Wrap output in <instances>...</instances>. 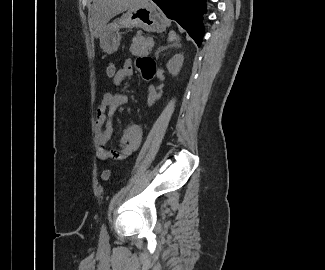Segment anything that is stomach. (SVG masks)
<instances>
[{
	"mask_svg": "<svg viewBox=\"0 0 325 270\" xmlns=\"http://www.w3.org/2000/svg\"><path fill=\"white\" fill-rule=\"evenodd\" d=\"M139 27L148 32H163L166 29V21L152 3H143L131 7L120 18L105 26L103 29L100 46L107 54L114 53L121 40L120 28Z\"/></svg>",
	"mask_w": 325,
	"mask_h": 270,
	"instance_id": "0dacf381",
	"label": "stomach"
}]
</instances>
